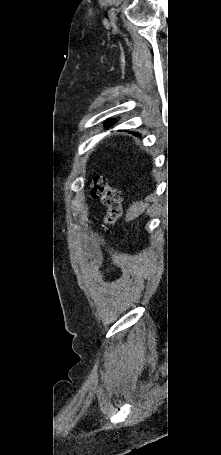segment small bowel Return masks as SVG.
<instances>
[{
  "mask_svg": "<svg viewBox=\"0 0 221 455\" xmlns=\"http://www.w3.org/2000/svg\"><path fill=\"white\" fill-rule=\"evenodd\" d=\"M81 252L83 254H91V266L92 267H96L99 263H100V256L98 254V252L94 249H89L86 245H81V248H80Z\"/></svg>",
  "mask_w": 221,
  "mask_h": 455,
  "instance_id": "1",
  "label": "small bowel"
}]
</instances>
